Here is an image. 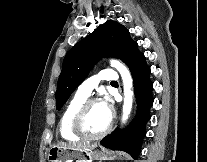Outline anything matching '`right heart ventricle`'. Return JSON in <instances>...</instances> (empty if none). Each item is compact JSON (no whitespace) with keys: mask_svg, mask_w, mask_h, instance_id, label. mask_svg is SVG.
Masks as SVG:
<instances>
[{"mask_svg":"<svg viewBox=\"0 0 207 162\" xmlns=\"http://www.w3.org/2000/svg\"><path fill=\"white\" fill-rule=\"evenodd\" d=\"M87 100V97H84L80 94H76L66 105L59 121V133L61 137L66 141H77L81 137L74 134L71 129V121L76 110Z\"/></svg>","mask_w":207,"mask_h":162,"instance_id":"1","label":"right heart ventricle"}]
</instances>
